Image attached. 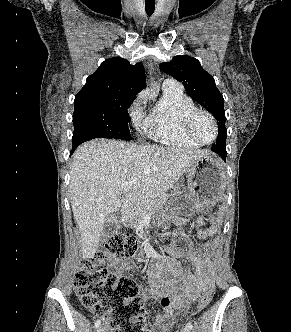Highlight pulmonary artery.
Listing matches in <instances>:
<instances>
[{
  "label": "pulmonary artery",
  "instance_id": "1",
  "mask_svg": "<svg viewBox=\"0 0 291 332\" xmlns=\"http://www.w3.org/2000/svg\"><path fill=\"white\" fill-rule=\"evenodd\" d=\"M163 87L167 89L182 90V85L178 81L171 78H168L163 82Z\"/></svg>",
  "mask_w": 291,
  "mask_h": 332
}]
</instances>
